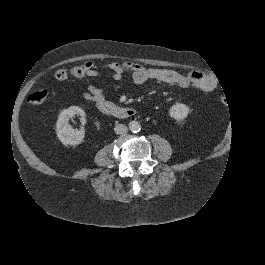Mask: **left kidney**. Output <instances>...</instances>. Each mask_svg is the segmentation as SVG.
Listing matches in <instances>:
<instances>
[{"instance_id":"obj_1","label":"left kidney","mask_w":265,"mask_h":265,"mask_svg":"<svg viewBox=\"0 0 265 265\" xmlns=\"http://www.w3.org/2000/svg\"><path fill=\"white\" fill-rule=\"evenodd\" d=\"M188 113V106L181 103L173 105L169 110L170 116L176 119L177 121H183L187 117Z\"/></svg>"}]
</instances>
